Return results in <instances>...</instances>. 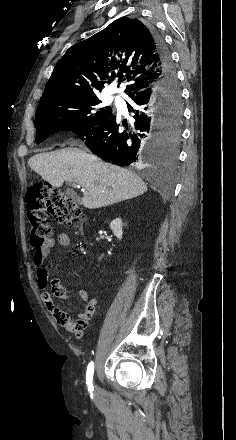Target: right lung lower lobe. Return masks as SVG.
Segmentation results:
<instances>
[{
  "label": "right lung lower lobe",
  "instance_id": "98d812e1",
  "mask_svg": "<svg viewBox=\"0 0 236 440\" xmlns=\"http://www.w3.org/2000/svg\"><path fill=\"white\" fill-rule=\"evenodd\" d=\"M149 29L157 47L161 76L149 87L129 94L128 111L134 113L135 119L132 128L128 129L123 123L126 127L123 129L120 119L113 114L101 124L78 134L94 154L119 166H146L155 161L162 149L160 138L166 123L175 120L172 111L181 107V97L171 96L178 83L169 51L156 30ZM181 119L182 115L180 122Z\"/></svg>",
  "mask_w": 236,
  "mask_h": 440
}]
</instances>
